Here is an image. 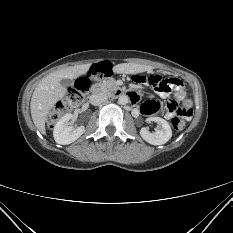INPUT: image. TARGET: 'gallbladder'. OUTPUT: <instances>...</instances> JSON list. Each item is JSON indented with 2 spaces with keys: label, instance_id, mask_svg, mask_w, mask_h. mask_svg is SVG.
I'll return each mask as SVG.
<instances>
[{
  "label": "gallbladder",
  "instance_id": "gallbladder-1",
  "mask_svg": "<svg viewBox=\"0 0 233 233\" xmlns=\"http://www.w3.org/2000/svg\"><path fill=\"white\" fill-rule=\"evenodd\" d=\"M61 84L64 87H69L70 85H72V80L64 78V79L61 80Z\"/></svg>",
  "mask_w": 233,
  "mask_h": 233
}]
</instances>
